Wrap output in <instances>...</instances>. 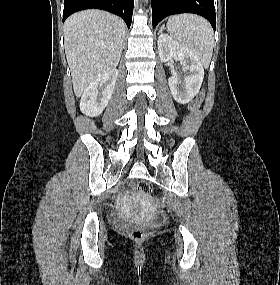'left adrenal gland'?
<instances>
[{"mask_svg": "<svg viewBox=\"0 0 280 285\" xmlns=\"http://www.w3.org/2000/svg\"><path fill=\"white\" fill-rule=\"evenodd\" d=\"M164 28H165V26H164V25H162V27L160 28V30H159V32H158V34H159V33H161V32L164 30Z\"/></svg>", "mask_w": 280, "mask_h": 285, "instance_id": "left-adrenal-gland-1", "label": "left adrenal gland"}]
</instances>
